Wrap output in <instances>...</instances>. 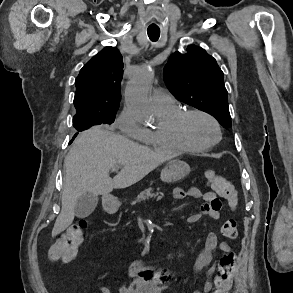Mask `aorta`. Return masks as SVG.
<instances>
[{
    "instance_id": "aorta-1",
    "label": "aorta",
    "mask_w": 293,
    "mask_h": 293,
    "mask_svg": "<svg viewBox=\"0 0 293 293\" xmlns=\"http://www.w3.org/2000/svg\"><path fill=\"white\" fill-rule=\"evenodd\" d=\"M153 72L144 68L131 78L126 87L127 105L131 112L143 122L154 120V110L149 98Z\"/></svg>"
}]
</instances>
